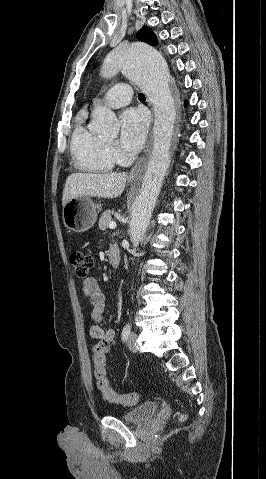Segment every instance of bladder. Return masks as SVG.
Listing matches in <instances>:
<instances>
[{"instance_id":"bladder-1","label":"bladder","mask_w":266,"mask_h":479,"mask_svg":"<svg viewBox=\"0 0 266 479\" xmlns=\"http://www.w3.org/2000/svg\"><path fill=\"white\" fill-rule=\"evenodd\" d=\"M157 411V403L145 402L122 413L120 419L128 423L140 424L155 416Z\"/></svg>"}]
</instances>
